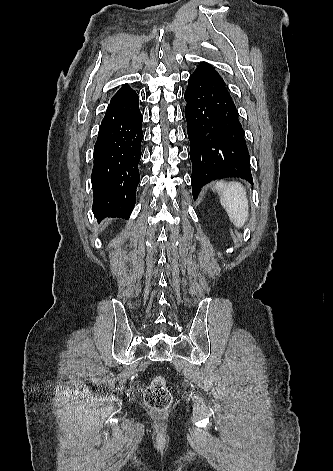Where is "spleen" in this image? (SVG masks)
Returning <instances> with one entry per match:
<instances>
[{"label":"spleen","mask_w":333,"mask_h":471,"mask_svg":"<svg viewBox=\"0 0 333 471\" xmlns=\"http://www.w3.org/2000/svg\"><path fill=\"white\" fill-rule=\"evenodd\" d=\"M221 205L226 210L230 221L241 228L249 217V205L245 188L238 182L220 181L216 184Z\"/></svg>","instance_id":"3e777b00"}]
</instances>
